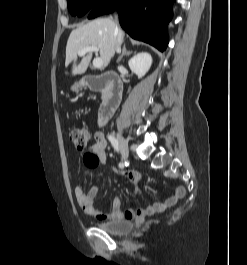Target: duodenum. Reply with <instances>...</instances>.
I'll use <instances>...</instances> for the list:
<instances>
[{
	"instance_id": "1",
	"label": "duodenum",
	"mask_w": 247,
	"mask_h": 265,
	"mask_svg": "<svg viewBox=\"0 0 247 265\" xmlns=\"http://www.w3.org/2000/svg\"><path fill=\"white\" fill-rule=\"evenodd\" d=\"M83 86L90 90H103L104 101L99 110L98 123L103 124L118 108L122 94L123 82L113 72H104L99 75H86L83 78Z\"/></svg>"
}]
</instances>
